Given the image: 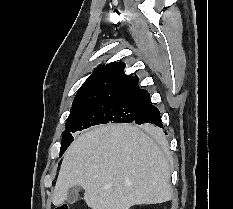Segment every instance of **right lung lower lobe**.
Listing matches in <instances>:
<instances>
[{"mask_svg":"<svg viewBox=\"0 0 233 209\" xmlns=\"http://www.w3.org/2000/svg\"><path fill=\"white\" fill-rule=\"evenodd\" d=\"M136 124L144 125L149 129L153 130L154 125L163 128L161 124L160 112L152 104H148L145 108L141 110L139 115L133 121Z\"/></svg>","mask_w":233,"mask_h":209,"instance_id":"obj_1","label":"right lung lower lobe"}]
</instances>
